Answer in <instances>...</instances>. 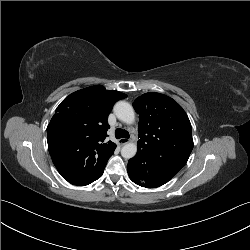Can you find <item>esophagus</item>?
I'll use <instances>...</instances> for the list:
<instances>
[{
  "mask_svg": "<svg viewBox=\"0 0 250 250\" xmlns=\"http://www.w3.org/2000/svg\"><path fill=\"white\" fill-rule=\"evenodd\" d=\"M128 142H129V140L126 139V138H120V139L118 140L119 145H125V144H127Z\"/></svg>",
  "mask_w": 250,
  "mask_h": 250,
  "instance_id": "34e87169",
  "label": "esophagus"
}]
</instances>
